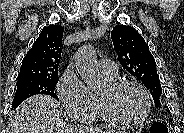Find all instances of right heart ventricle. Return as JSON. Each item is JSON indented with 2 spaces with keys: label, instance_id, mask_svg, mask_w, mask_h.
Returning <instances> with one entry per match:
<instances>
[{
  "label": "right heart ventricle",
  "instance_id": "obj_1",
  "mask_svg": "<svg viewBox=\"0 0 184 133\" xmlns=\"http://www.w3.org/2000/svg\"><path fill=\"white\" fill-rule=\"evenodd\" d=\"M106 80L110 83V82H114L117 80V76L116 77H110V76H106L104 75ZM95 97V114H94V117L92 119L93 120H101V121H108L107 118L105 117L102 109H101V106H100V102H99V96L98 95H94Z\"/></svg>",
  "mask_w": 184,
  "mask_h": 133
}]
</instances>
